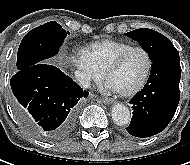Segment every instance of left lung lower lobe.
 Returning a JSON list of instances; mask_svg holds the SVG:
<instances>
[{"label": "left lung lower lobe", "mask_w": 190, "mask_h": 165, "mask_svg": "<svg viewBox=\"0 0 190 165\" xmlns=\"http://www.w3.org/2000/svg\"><path fill=\"white\" fill-rule=\"evenodd\" d=\"M181 67L178 52L168 53L152 62L144 88L130 103L133 116L127 132L136 137H150L163 131L179 103Z\"/></svg>", "instance_id": "1"}]
</instances>
